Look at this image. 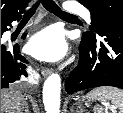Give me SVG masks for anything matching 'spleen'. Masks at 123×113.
I'll return each instance as SVG.
<instances>
[{
  "instance_id": "3e777b00",
  "label": "spleen",
  "mask_w": 123,
  "mask_h": 113,
  "mask_svg": "<svg viewBox=\"0 0 123 113\" xmlns=\"http://www.w3.org/2000/svg\"><path fill=\"white\" fill-rule=\"evenodd\" d=\"M87 99L97 100L102 104L111 102L115 105L120 113H123V90L114 87H99L91 90L87 94ZM94 113H103V108L95 106L93 108Z\"/></svg>"
}]
</instances>
